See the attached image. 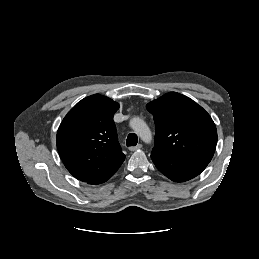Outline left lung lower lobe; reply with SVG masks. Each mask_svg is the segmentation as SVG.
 Wrapping results in <instances>:
<instances>
[{"mask_svg": "<svg viewBox=\"0 0 259 259\" xmlns=\"http://www.w3.org/2000/svg\"><path fill=\"white\" fill-rule=\"evenodd\" d=\"M151 158L157 169L175 182H184L199 175L208 162L198 160H178L152 151Z\"/></svg>", "mask_w": 259, "mask_h": 259, "instance_id": "left-lung-lower-lobe-1", "label": "left lung lower lobe"}]
</instances>
